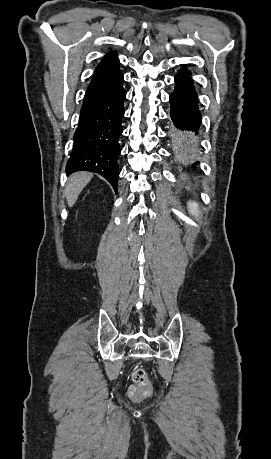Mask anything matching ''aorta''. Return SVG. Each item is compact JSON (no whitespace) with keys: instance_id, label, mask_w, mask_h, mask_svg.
Masks as SVG:
<instances>
[{"instance_id":"obj_1","label":"aorta","mask_w":271,"mask_h":459,"mask_svg":"<svg viewBox=\"0 0 271 459\" xmlns=\"http://www.w3.org/2000/svg\"><path fill=\"white\" fill-rule=\"evenodd\" d=\"M173 138V151L176 158L183 164L193 162L199 150V141L197 137L191 133L181 131H174Z\"/></svg>"}]
</instances>
